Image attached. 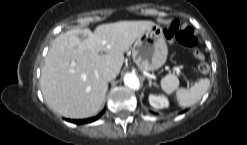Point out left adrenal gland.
Segmentation results:
<instances>
[{
	"instance_id": "a2214340",
	"label": "left adrenal gland",
	"mask_w": 247,
	"mask_h": 145,
	"mask_svg": "<svg viewBox=\"0 0 247 145\" xmlns=\"http://www.w3.org/2000/svg\"><path fill=\"white\" fill-rule=\"evenodd\" d=\"M148 80H149V87H151L152 85L157 87V84L155 82H152L150 78H148Z\"/></svg>"
}]
</instances>
